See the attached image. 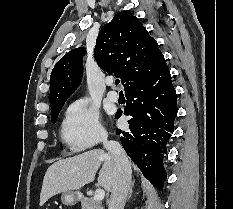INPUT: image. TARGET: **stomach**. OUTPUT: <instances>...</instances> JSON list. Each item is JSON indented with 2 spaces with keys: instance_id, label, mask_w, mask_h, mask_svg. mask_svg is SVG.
I'll return each instance as SVG.
<instances>
[{
  "instance_id": "0dacf381",
  "label": "stomach",
  "mask_w": 233,
  "mask_h": 209,
  "mask_svg": "<svg viewBox=\"0 0 233 209\" xmlns=\"http://www.w3.org/2000/svg\"><path fill=\"white\" fill-rule=\"evenodd\" d=\"M80 198L81 194L79 192H65L61 195V201L66 206H74Z\"/></svg>"
}]
</instances>
